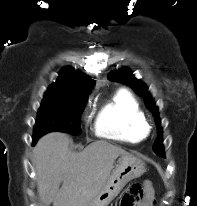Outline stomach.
<instances>
[{"instance_id": "1", "label": "stomach", "mask_w": 197, "mask_h": 206, "mask_svg": "<svg viewBox=\"0 0 197 206\" xmlns=\"http://www.w3.org/2000/svg\"><path fill=\"white\" fill-rule=\"evenodd\" d=\"M144 172L145 165L139 158L130 154L121 155L115 170L86 206H108L129 181L140 177Z\"/></svg>"}]
</instances>
